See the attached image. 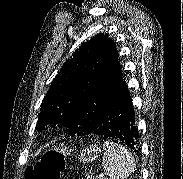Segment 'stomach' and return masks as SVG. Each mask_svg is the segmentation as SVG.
I'll use <instances>...</instances> for the list:
<instances>
[{"label":"stomach","instance_id":"stomach-1","mask_svg":"<svg viewBox=\"0 0 183 179\" xmlns=\"http://www.w3.org/2000/svg\"><path fill=\"white\" fill-rule=\"evenodd\" d=\"M100 148L96 145H90L89 147L84 148L79 154V160L83 163L91 162L99 157Z\"/></svg>","mask_w":183,"mask_h":179}]
</instances>
